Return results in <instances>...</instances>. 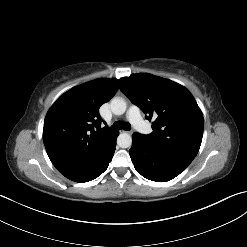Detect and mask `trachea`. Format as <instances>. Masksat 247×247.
Segmentation results:
<instances>
[{
	"label": "trachea",
	"instance_id": "3493384b",
	"mask_svg": "<svg viewBox=\"0 0 247 247\" xmlns=\"http://www.w3.org/2000/svg\"><path fill=\"white\" fill-rule=\"evenodd\" d=\"M113 130H130L131 129V126L129 123H125V122H122V121H117L115 122L112 127H111Z\"/></svg>",
	"mask_w": 247,
	"mask_h": 247
}]
</instances>
